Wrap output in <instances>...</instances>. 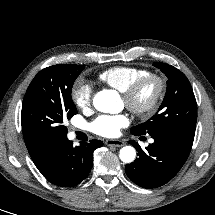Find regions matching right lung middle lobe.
<instances>
[{
	"label": "right lung middle lobe",
	"mask_w": 215,
	"mask_h": 215,
	"mask_svg": "<svg viewBox=\"0 0 215 215\" xmlns=\"http://www.w3.org/2000/svg\"><path fill=\"white\" fill-rule=\"evenodd\" d=\"M83 68L84 65H53L35 76L22 104L24 140L37 146H52L67 139L64 122L77 114L72 86Z\"/></svg>",
	"instance_id": "dd1d6c3e"
}]
</instances>
